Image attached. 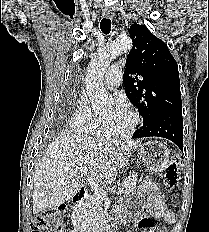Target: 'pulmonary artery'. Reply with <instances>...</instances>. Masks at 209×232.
I'll list each match as a JSON object with an SVG mask.
<instances>
[{
  "label": "pulmonary artery",
  "mask_w": 209,
  "mask_h": 232,
  "mask_svg": "<svg viewBox=\"0 0 209 232\" xmlns=\"http://www.w3.org/2000/svg\"><path fill=\"white\" fill-rule=\"evenodd\" d=\"M122 74V68L119 65H112L109 67L104 78L105 86L109 90L117 88L121 82Z\"/></svg>",
  "instance_id": "obj_1"
}]
</instances>
